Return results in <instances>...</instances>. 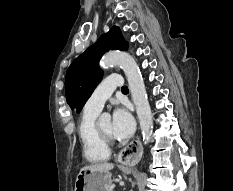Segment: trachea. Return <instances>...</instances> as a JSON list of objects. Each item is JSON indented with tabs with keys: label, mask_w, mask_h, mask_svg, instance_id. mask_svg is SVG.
<instances>
[{
	"label": "trachea",
	"mask_w": 233,
	"mask_h": 191,
	"mask_svg": "<svg viewBox=\"0 0 233 191\" xmlns=\"http://www.w3.org/2000/svg\"><path fill=\"white\" fill-rule=\"evenodd\" d=\"M128 91V87L127 86H123L122 87V92H127Z\"/></svg>",
	"instance_id": "3493384b"
}]
</instances>
